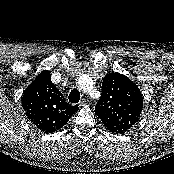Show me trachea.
I'll list each match as a JSON object with an SVG mask.
<instances>
[{
    "mask_svg": "<svg viewBox=\"0 0 174 174\" xmlns=\"http://www.w3.org/2000/svg\"><path fill=\"white\" fill-rule=\"evenodd\" d=\"M80 100V92L77 89L71 90L69 94V102L78 103Z\"/></svg>",
    "mask_w": 174,
    "mask_h": 174,
    "instance_id": "obj_1",
    "label": "trachea"
}]
</instances>
